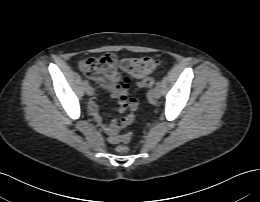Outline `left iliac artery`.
Wrapping results in <instances>:
<instances>
[{
    "mask_svg": "<svg viewBox=\"0 0 260 202\" xmlns=\"http://www.w3.org/2000/svg\"><path fill=\"white\" fill-rule=\"evenodd\" d=\"M160 86H161V83L158 81V82L156 83V87H157V88H160Z\"/></svg>",
    "mask_w": 260,
    "mask_h": 202,
    "instance_id": "44dca946",
    "label": "left iliac artery"
}]
</instances>
